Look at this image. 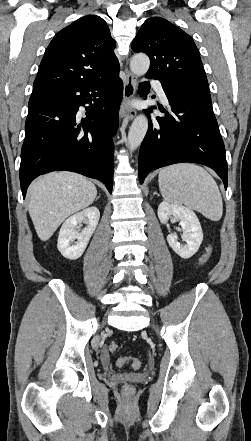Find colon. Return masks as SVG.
<instances>
[{
    "label": "colon",
    "instance_id": "colon-1",
    "mask_svg": "<svg viewBox=\"0 0 251 441\" xmlns=\"http://www.w3.org/2000/svg\"><path fill=\"white\" fill-rule=\"evenodd\" d=\"M212 254V247H209L206 251V253L202 256V258L199 261L200 265L205 264L211 257ZM108 349L110 352L114 353L118 350V345L115 342H112L109 344ZM116 364L120 367L130 365L132 368H139L141 366V361L137 358L132 357H125V358H119L116 362ZM125 392L129 393L132 391V387L129 385H126L124 387Z\"/></svg>",
    "mask_w": 251,
    "mask_h": 441
}]
</instances>
